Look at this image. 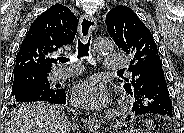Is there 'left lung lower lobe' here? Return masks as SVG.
I'll return each instance as SVG.
<instances>
[{"label":"left lung lower lobe","mask_w":184,"mask_h":133,"mask_svg":"<svg viewBox=\"0 0 184 133\" xmlns=\"http://www.w3.org/2000/svg\"><path fill=\"white\" fill-rule=\"evenodd\" d=\"M155 73L136 91L130 93L135 98L132 112L135 115L158 114L173 117L172 102L169 98L162 62L154 56L150 64Z\"/></svg>","instance_id":"0a47b994"}]
</instances>
